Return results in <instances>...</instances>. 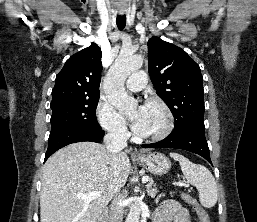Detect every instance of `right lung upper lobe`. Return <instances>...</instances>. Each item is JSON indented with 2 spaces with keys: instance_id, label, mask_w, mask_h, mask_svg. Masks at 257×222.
Wrapping results in <instances>:
<instances>
[{
  "instance_id": "right-lung-upper-lobe-1",
  "label": "right lung upper lobe",
  "mask_w": 257,
  "mask_h": 222,
  "mask_svg": "<svg viewBox=\"0 0 257 222\" xmlns=\"http://www.w3.org/2000/svg\"><path fill=\"white\" fill-rule=\"evenodd\" d=\"M101 56V48L95 43L72 55L56 76L52 101L100 95Z\"/></svg>"
}]
</instances>
